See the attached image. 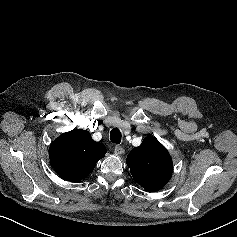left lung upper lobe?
Instances as JSON below:
<instances>
[{
	"mask_svg": "<svg viewBox=\"0 0 237 237\" xmlns=\"http://www.w3.org/2000/svg\"><path fill=\"white\" fill-rule=\"evenodd\" d=\"M126 162L133 179L148 192L162 189L172 175L171 156L153 136L146 137L140 146L135 147Z\"/></svg>",
	"mask_w": 237,
	"mask_h": 237,
	"instance_id": "5c2ea615",
	"label": "left lung upper lobe"
}]
</instances>
